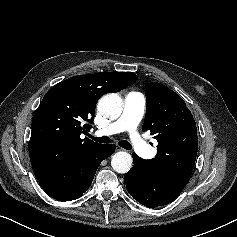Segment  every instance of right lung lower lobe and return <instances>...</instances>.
<instances>
[{"label": "right lung lower lobe", "instance_id": "1", "mask_svg": "<svg viewBox=\"0 0 237 237\" xmlns=\"http://www.w3.org/2000/svg\"><path fill=\"white\" fill-rule=\"evenodd\" d=\"M114 144H99L77 156L61 177L39 181L43 190L60 201L80 198L90 187L100 163L115 151Z\"/></svg>", "mask_w": 237, "mask_h": 237}]
</instances>
